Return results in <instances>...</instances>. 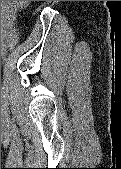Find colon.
I'll list each match as a JSON object with an SVG mask.
<instances>
[{
  "label": "colon",
  "mask_w": 121,
  "mask_h": 169,
  "mask_svg": "<svg viewBox=\"0 0 121 169\" xmlns=\"http://www.w3.org/2000/svg\"><path fill=\"white\" fill-rule=\"evenodd\" d=\"M12 4L17 5L20 8H25L29 4V1H10Z\"/></svg>",
  "instance_id": "colon-1"
}]
</instances>
